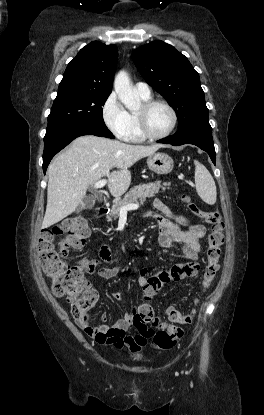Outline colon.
Masks as SVG:
<instances>
[{
  "mask_svg": "<svg viewBox=\"0 0 264 415\" xmlns=\"http://www.w3.org/2000/svg\"><path fill=\"white\" fill-rule=\"evenodd\" d=\"M182 200L189 211L196 217L202 218L209 226L207 238L206 265L202 276V291H206L214 280L222 255L224 242L223 221L218 210L204 211L193 203L186 194ZM90 236V227L83 217H75L65 222L61 227L43 229L38 242V252L42 271L52 282V293L57 297H66L71 307L75 322L83 329H91L88 313L95 305L98 294L90 286L85 271L81 265H69L59 252L80 249ZM196 270L193 264H175L168 270L154 277L146 292L147 295L164 284L179 281L192 276ZM194 311L182 314L170 308L167 312L168 323H162L157 318L149 304H143L135 313L133 323L139 334L138 340L144 336L152 339L158 349L173 348L183 338L184 330L181 325L189 326L193 322Z\"/></svg>",
  "mask_w": 264,
  "mask_h": 415,
  "instance_id": "5ec220e1",
  "label": "colon"
}]
</instances>
